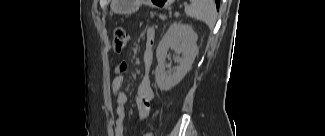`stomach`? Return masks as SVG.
I'll list each match as a JSON object with an SVG mask.
<instances>
[{"mask_svg": "<svg viewBox=\"0 0 325 136\" xmlns=\"http://www.w3.org/2000/svg\"><path fill=\"white\" fill-rule=\"evenodd\" d=\"M173 0H146L147 3L154 8H167L172 4ZM143 3L140 0H113L112 8L115 12L120 14H131L135 12L139 5Z\"/></svg>", "mask_w": 325, "mask_h": 136, "instance_id": "obj_1", "label": "stomach"}]
</instances>
